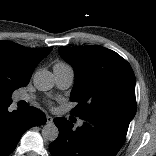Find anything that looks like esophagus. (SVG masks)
Returning a JSON list of instances; mask_svg holds the SVG:
<instances>
[{
    "label": "esophagus",
    "mask_w": 156,
    "mask_h": 156,
    "mask_svg": "<svg viewBox=\"0 0 156 156\" xmlns=\"http://www.w3.org/2000/svg\"><path fill=\"white\" fill-rule=\"evenodd\" d=\"M46 122H47V124H51L53 122V118L51 116L47 115Z\"/></svg>",
    "instance_id": "esophagus-1"
}]
</instances>
